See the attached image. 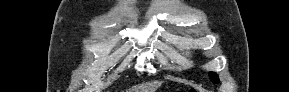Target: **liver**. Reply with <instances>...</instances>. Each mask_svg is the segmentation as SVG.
<instances>
[{
	"mask_svg": "<svg viewBox=\"0 0 289 92\" xmlns=\"http://www.w3.org/2000/svg\"><path fill=\"white\" fill-rule=\"evenodd\" d=\"M161 84V81H152L150 83H146L144 85L133 88L132 92H155V90H157V88L160 87Z\"/></svg>",
	"mask_w": 289,
	"mask_h": 92,
	"instance_id": "6515ba94",
	"label": "liver"
}]
</instances>
